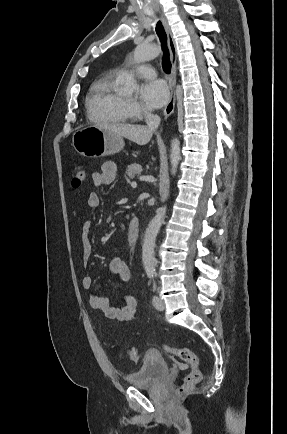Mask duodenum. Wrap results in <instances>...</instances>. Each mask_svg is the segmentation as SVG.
<instances>
[{"instance_id": "duodenum-1", "label": "duodenum", "mask_w": 287, "mask_h": 434, "mask_svg": "<svg viewBox=\"0 0 287 434\" xmlns=\"http://www.w3.org/2000/svg\"><path fill=\"white\" fill-rule=\"evenodd\" d=\"M140 234V224L136 217H133L128 225L127 237L130 243L134 244L137 242Z\"/></svg>"}]
</instances>
